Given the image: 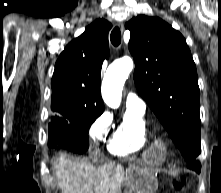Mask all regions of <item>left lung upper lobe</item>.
<instances>
[{"label":"left lung upper lobe","instance_id":"left-lung-upper-lobe-1","mask_svg":"<svg viewBox=\"0 0 221 193\" xmlns=\"http://www.w3.org/2000/svg\"><path fill=\"white\" fill-rule=\"evenodd\" d=\"M135 61L134 81L186 162L198 158L199 86L184 37L157 17L139 15L126 25Z\"/></svg>","mask_w":221,"mask_h":193}]
</instances>
